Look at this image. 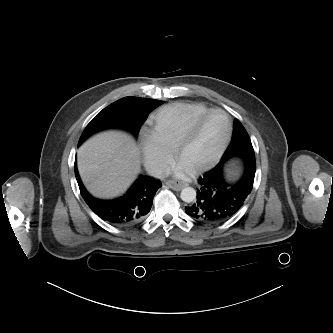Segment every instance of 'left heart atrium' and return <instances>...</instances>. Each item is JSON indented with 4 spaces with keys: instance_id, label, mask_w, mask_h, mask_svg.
Wrapping results in <instances>:
<instances>
[{
    "instance_id": "39dd6f15",
    "label": "left heart atrium",
    "mask_w": 333,
    "mask_h": 333,
    "mask_svg": "<svg viewBox=\"0 0 333 333\" xmlns=\"http://www.w3.org/2000/svg\"><path fill=\"white\" fill-rule=\"evenodd\" d=\"M191 169L188 168L186 165H184L181 162H178L177 164L174 165L172 168V172L177 175V176H183L186 173H188Z\"/></svg>"
}]
</instances>
